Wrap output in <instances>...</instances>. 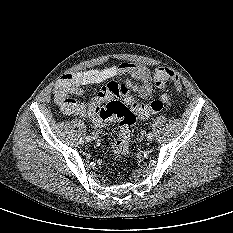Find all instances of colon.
Wrapping results in <instances>:
<instances>
[{
	"mask_svg": "<svg viewBox=\"0 0 233 233\" xmlns=\"http://www.w3.org/2000/svg\"><path fill=\"white\" fill-rule=\"evenodd\" d=\"M153 80L159 88L164 90L170 83H173L178 91L182 90L178 76L169 68H155ZM121 92L124 102L113 99L104 107L93 105L90 109L91 119L96 123H105L112 118H117L120 121L119 137L113 145V153L117 159L128 154L130 150L133 125L136 119H145L151 114L161 111L164 103L168 100L166 92L159 99L147 103L138 102L127 93L125 87L121 88Z\"/></svg>",
	"mask_w": 233,
	"mask_h": 233,
	"instance_id": "colon-1",
	"label": "colon"
}]
</instances>
